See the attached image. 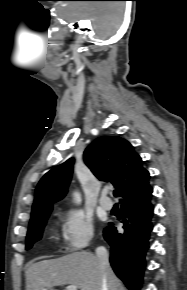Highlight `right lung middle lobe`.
Segmentation results:
<instances>
[{
	"label": "right lung middle lobe",
	"instance_id": "dd1d6c3e",
	"mask_svg": "<svg viewBox=\"0 0 187 290\" xmlns=\"http://www.w3.org/2000/svg\"><path fill=\"white\" fill-rule=\"evenodd\" d=\"M49 214L50 212L43 214L30 222L26 239L27 250L30 249L36 241L41 239L43 228L46 224Z\"/></svg>",
	"mask_w": 187,
	"mask_h": 290
}]
</instances>
